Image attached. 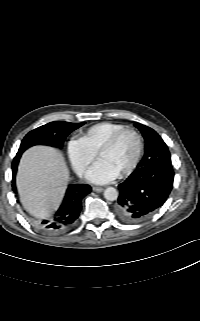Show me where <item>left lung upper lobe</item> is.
I'll list each match as a JSON object with an SVG mask.
<instances>
[{
    "label": "left lung upper lobe",
    "mask_w": 200,
    "mask_h": 321,
    "mask_svg": "<svg viewBox=\"0 0 200 321\" xmlns=\"http://www.w3.org/2000/svg\"><path fill=\"white\" fill-rule=\"evenodd\" d=\"M135 126L145 140V154L137 168L152 165L172 166L168 147L158 133L145 125L135 124Z\"/></svg>",
    "instance_id": "left-lung-upper-lobe-1"
}]
</instances>
